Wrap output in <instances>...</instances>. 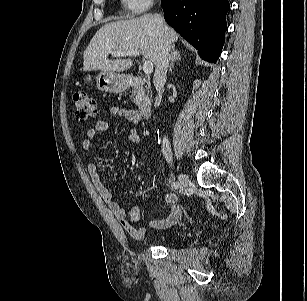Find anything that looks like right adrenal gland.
<instances>
[{"label": "right adrenal gland", "instance_id": "2a0ac1e0", "mask_svg": "<svg viewBox=\"0 0 307 301\" xmlns=\"http://www.w3.org/2000/svg\"><path fill=\"white\" fill-rule=\"evenodd\" d=\"M172 57H171V62H170V66H169V72L172 71L173 66H174V62L181 60V56L178 50L175 49V45H172V53H171Z\"/></svg>", "mask_w": 307, "mask_h": 301}]
</instances>
